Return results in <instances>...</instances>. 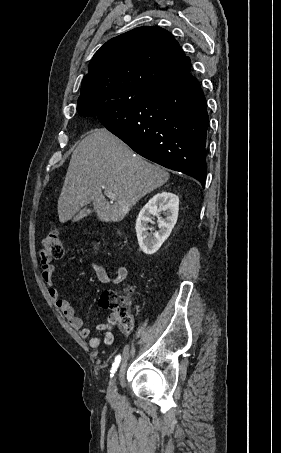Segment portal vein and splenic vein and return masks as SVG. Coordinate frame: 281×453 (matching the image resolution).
<instances>
[{
	"label": "portal vein and splenic vein",
	"mask_w": 281,
	"mask_h": 453,
	"mask_svg": "<svg viewBox=\"0 0 281 453\" xmlns=\"http://www.w3.org/2000/svg\"><path fill=\"white\" fill-rule=\"evenodd\" d=\"M106 196H108V198H116V194H114V192H112V190H104Z\"/></svg>",
	"instance_id": "18ae733b"
}]
</instances>
